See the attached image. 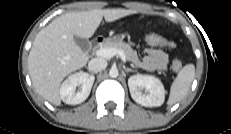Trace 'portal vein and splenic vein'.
Segmentation results:
<instances>
[{"label":"portal vein and splenic vein","mask_w":231,"mask_h":134,"mask_svg":"<svg viewBox=\"0 0 231 134\" xmlns=\"http://www.w3.org/2000/svg\"><path fill=\"white\" fill-rule=\"evenodd\" d=\"M96 55L103 58H112L113 56L118 55L124 63L127 60L126 55L122 50L114 48H100L96 51Z\"/></svg>","instance_id":"18ae733b"}]
</instances>
